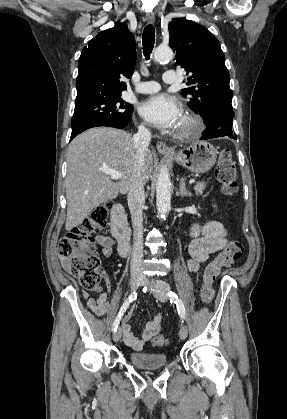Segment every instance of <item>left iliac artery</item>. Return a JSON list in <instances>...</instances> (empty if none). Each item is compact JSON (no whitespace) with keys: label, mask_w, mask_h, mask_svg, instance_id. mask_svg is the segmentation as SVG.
Instances as JSON below:
<instances>
[{"label":"left iliac artery","mask_w":287,"mask_h":419,"mask_svg":"<svg viewBox=\"0 0 287 419\" xmlns=\"http://www.w3.org/2000/svg\"><path fill=\"white\" fill-rule=\"evenodd\" d=\"M168 296L170 298V302L174 303L177 306V311L181 319H185V308L182 300L177 296L176 293L172 291L168 292Z\"/></svg>","instance_id":"1"}]
</instances>
